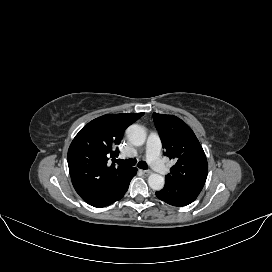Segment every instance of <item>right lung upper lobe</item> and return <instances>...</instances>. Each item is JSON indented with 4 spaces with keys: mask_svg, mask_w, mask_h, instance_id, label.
<instances>
[{
    "mask_svg": "<svg viewBox=\"0 0 272 272\" xmlns=\"http://www.w3.org/2000/svg\"><path fill=\"white\" fill-rule=\"evenodd\" d=\"M144 113L106 114L86 124L68 150L72 184L84 200L105 188L129 168L108 165L109 156H118L124 131Z\"/></svg>",
    "mask_w": 272,
    "mask_h": 272,
    "instance_id": "1",
    "label": "right lung upper lobe"
}]
</instances>
